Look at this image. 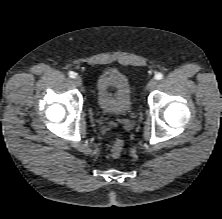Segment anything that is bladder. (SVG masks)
<instances>
[{
	"instance_id": "1",
	"label": "bladder",
	"mask_w": 222,
	"mask_h": 219,
	"mask_svg": "<svg viewBox=\"0 0 222 219\" xmlns=\"http://www.w3.org/2000/svg\"><path fill=\"white\" fill-rule=\"evenodd\" d=\"M95 98L101 111L121 117L132 110L131 88L127 77L117 69H105L97 77Z\"/></svg>"
}]
</instances>
